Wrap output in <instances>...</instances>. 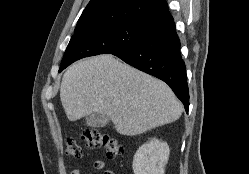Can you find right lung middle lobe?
<instances>
[{"label": "right lung middle lobe", "mask_w": 249, "mask_h": 174, "mask_svg": "<svg viewBox=\"0 0 249 174\" xmlns=\"http://www.w3.org/2000/svg\"><path fill=\"white\" fill-rule=\"evenodd\" d=\"M146 28L145 23L119 22L76 31L67 46L59 72L81 58L113 54L131 47L142 38Z\"/></svg>", "instance_id": "1"}]
</instances>
